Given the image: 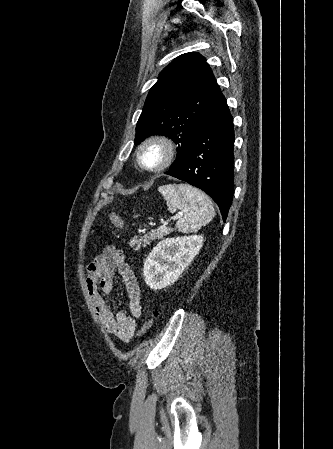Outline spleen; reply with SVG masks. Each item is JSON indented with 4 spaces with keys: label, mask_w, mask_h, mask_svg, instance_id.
Wrapping results in <instances>:
<instances>
[{
    "label": "spleen",
    "mask_w": 333,
    "mask_h": 449,
    "mask_svg": "<svg viewBox=\"0 0 333 449\" xmlns=\"http://www.w3.org/2000/svg\"><path fill=\"white\" fill-rule=\"evenodd\" d=\"M171 213L181 210L183 215L176 222L179 232H196L215 216L210 198L201 190L188 184H169L158 188Z\"/></svg>",
    "instance_id": "spleen-1"
}]
</instances>
